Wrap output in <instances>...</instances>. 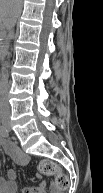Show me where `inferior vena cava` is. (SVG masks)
<instances>
[{
    "label": "inferior vena cava",
    "instance_id": "602c4592",
    "mask_svg": "<svg viewBox=\"0 0 103 193\" xmlns=\"http://www.w3.org/2000/svg\"><path fill=\"white\" fill-rule=\"evenodd\" d=\"M6 53L7 49L9 48V43H6ZM8 64H4L2 67V70H6L5 73H2L1 76V88H0V93H1V103H0V115L2 117L8 118L10 116V106H9V101H8V92L10 88V83L8 81V71L7 68Z\"/></svg>",
    "mask_w": 103,
    "mask_h": 193
}]
</instances>
